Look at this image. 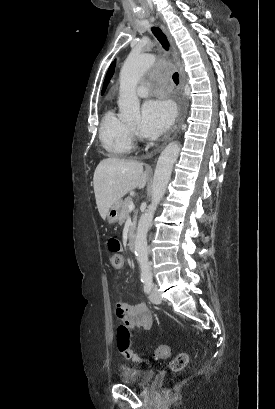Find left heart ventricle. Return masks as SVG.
Instances as JSON below:
<instances>
[{
    "label": "left heart ventricle",
    "mask_w": 275,
    "mask_h": 409,
    "mask_svg": "<svg viewBox=\"0 0 275 409\" xmlns=\"http://www.w3.org/2000/svg\"><path fill=\"white\" fill-rule=\"evenodd\" d=\"M137 125H138V123L131 124V125H130V127H132V128H134V129H136Z\"/></svg>",
    "instance_id": "obj_1"
}]
</instances>
